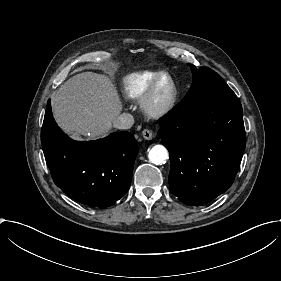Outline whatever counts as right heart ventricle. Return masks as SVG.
Wrapping results in <instances>:
<instances>
[{
  "instance_id": "obj_1",
  "label": "right heart ventricle",
  "mask_w": 281,
  "mask_h": 281,
  "mask_svg": "<svg viewBox=\"0 0 281 281\" xmlns=\"http://www.w3.org/2000/svg\"><path fill=\"white\" fill-rule=\"evenodd\" d=\"M161 73L158 71H143L124 77L120 83L121 96L129 100L140 98Z\"/></svg>"
}]
</instances>
